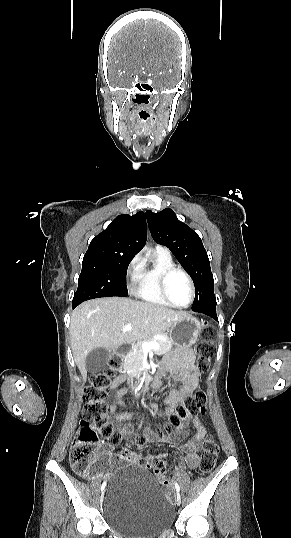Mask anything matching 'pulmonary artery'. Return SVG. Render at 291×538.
<instances>
[{"mask_svg":"<svg viewBox=\"0 0 291 538\" xmlns=\"http://www.w3.org/2000/svg\"><path fill=\"white\" fill-rule=\"evenodd\" d=\"M157 248H159V249H164V250L168 251L166 248H164V247H162V246H157Z\"/></svg>","mask_w":291,"mask_h":538,"instance_id":"obj_1","label":"pulmonary artery"}]
</instances>
